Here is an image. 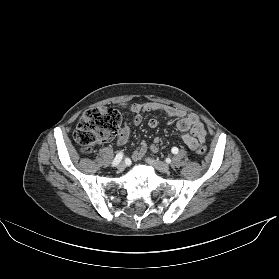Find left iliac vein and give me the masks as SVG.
<instances>
[{"label": "left iliac vein", "instance_id": "left-iliac-vein-1", "mask_svg": "<svg viewBox=\"0 0 279 279\" xmlns=\"http://www.w3.org/2000/svg\"><path fill=\"white\" fill-rule=\"evenodd\" d=\"M145 160L162 173H168L170 171L169 165L164 162H161L159 160H154L152 158H146Z\"/></svg>", "mask_w": 279, "mask_h": 279}]
</instances>
